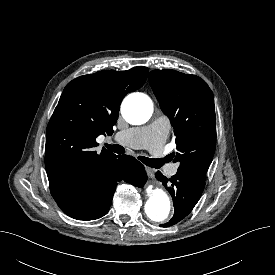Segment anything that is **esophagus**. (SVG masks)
Wrapping results in <instances>:
<instances>
[{
  "label": "esophagus",
  "instance_id": "esophagus-1",
  "mask_svg": "<svg viewBox=\"0 0 275 275\" xmlns=\"http://www.w3.org/2000/svg\"><path fill=\"white\" fill-rule=\"evenodd\" d=\"M145 170H146V172H147V174H148L149 177H153L154 176V173H155L154 169L146 166Z\"/></svg>",
  "mask_w": 275,
  "mask_h": 275
}]
</instances>
